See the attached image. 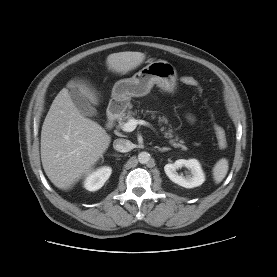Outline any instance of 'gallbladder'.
<instances>
[{"label": "gallbladder", "mask_w": 277, "mask_h": 277, "mask_svg": "<svg viewBox=\"0 0 277 277\" xmlns=\"http://www.w3.org/2000/svg\"><path fill=\"white\" fill-rule=\"evenodd\" d=\"M70 97L76 106V108L85 116L96 117L97 110L91 105L85 96H83L78 90H71Z\"/></svg>", "instance_id": "gallbladder-1"}]
</instances>
